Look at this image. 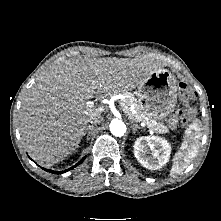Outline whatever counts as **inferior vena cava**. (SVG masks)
<instances>
[{
	"mask_svg": "<svg viewBox=\"0 0 221 221\" xmlns=\"http://www.w3.org/2000/svg\"><path fill=\"white\" fill-rule=\"evenodd\" d=\"M102 120H103L102 116L101 115H97L95 117H92L90 119L89 123H91V124H99V123L102 122Z\"/></svg>",
	"mask_w": 221,
	"mask_h": 221,
	"instance_id": "inferior-vena-cava-1",
	"label": "inferior vena cava"
}]
</instances>
